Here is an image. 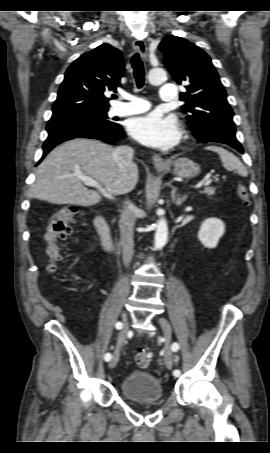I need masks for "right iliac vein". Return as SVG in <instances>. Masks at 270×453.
Wrapping results in <instances>:
<instances>
[{
	"instance_id": "obj_1",
	"label": "right iliac vein",
	"mask_w": 270,
	"mask_h": 453,
	"mask_svg": "<svg viewBox=\"0 0 270 453\" xmlns=\"http://www.w3.org/2000/svg\"><path fill=\"white\" fill-rule=\"evenodd\" d=\"M122 323H123V328H122V330L120 331V333L118 335L117 348L114 351L112 359H111V361L109 363V368L110 369L114 368L117 365V363L119 361L120 347L122 346V344L124 343V341H125V339L127 337L128 320H127V314L125 312L122 313Z\"/></svg>"
}]
</instances>
